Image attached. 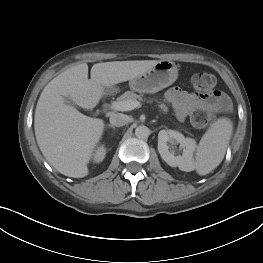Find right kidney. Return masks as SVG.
<instances>
[{"label":"right kidney","instance_id":"1","mask_svg":"<svg viewBox=\"0 0 263 263\" xmlns=\"http://www.w3.org/2000/svg\"><path fill=\"white\" fill-rule=\"evenodd\" d=\"M105 154H106V149L104 146H100L98 147V149L96 150V152L94 153V162H101L103 161L104 157H105Z\"/></svg>","mask_w":263,"mask_h":263}]
</instances>
